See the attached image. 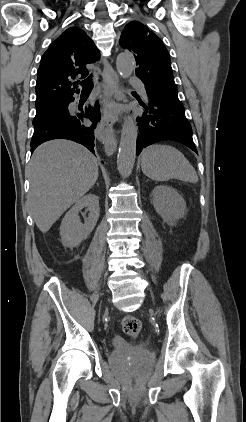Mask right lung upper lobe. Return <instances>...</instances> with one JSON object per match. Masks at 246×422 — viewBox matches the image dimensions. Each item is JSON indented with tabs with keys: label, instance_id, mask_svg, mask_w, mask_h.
<instances>
[{
	"label": "right lung upper lobe",
	"instance_id": "cb5924a9",
	"mask_svg": "<svg viewBox=\"0 0 246 422\" xmlns=\"http://www.w3.org/2000/svg\"><path fill=\"white\" fill-rule=\"evenodd\" d=\"M100 53L87 34L76 27L64 31L43 54L37 71L36 109L65 102L79 93L71 80L86 77V64L94 63Z\"/></svg>",
	"mask_w": 246,
	"mask_h": 422
}]
</instances>
